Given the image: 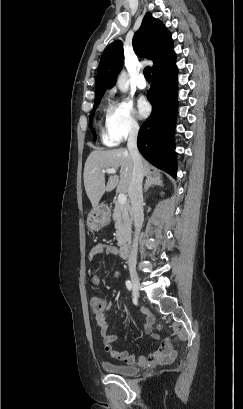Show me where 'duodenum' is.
Instances as JSON below:
<instances>
[{
    "mask_svg": "<svg viewBox=\"0 0 243 409\" xmlns=\"http://www.w3.org/2000/svg\"><path fill=\"white\" fill-rule=\"evenodd\" d=\"M119 254L122 258H128L130 255V245L123 244L120 246Z\"/></svg>",
    "mask_w": 243,
    "mask_h": 409,
    "instance_id": "duodenum-1",
    "label": "duodenum"
}]
</instances>
